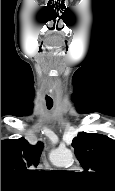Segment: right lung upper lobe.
<instances>
[{"instance_id": "cb5924a9", "label": "right lung upper lobe", "mask_w": 115, "mask_h": 191, "mask_svg": "<svg viewBox=\"0 0 115 191\" xmlns=\"http://www.w3.org/2000/svg\"><path fill=\"white\" fill-rule=\"evenodd\" d=\"M43 144L33 146L25 138L1 141V188L20 183L37 166Z\"/></svg>"}]
</instances>
